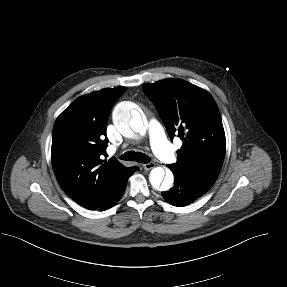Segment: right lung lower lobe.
I'll list each match as a JSON object with an SVG mask.
<instances>
[{"label":"right lung lower lobe","instance_id":"1","mask_svg":"<svg viewBox=\"0 0 287 287\" xmlns=\"http://www.w3.org/2000/svg\"><path fill=\"white\" fill-rule=\"evenodd\" d=\"M138 170V168H137ZM136 170V171H137ZM126 185H127V181L124 183V185L118 190V192L115 194V196L113 197L112 201L105 204L104 206L98 208L100 211H104V210H107L109 208H111L113 205H115L119 200L120 198L122 197V195L124 194V191L126 189Z\"/></svg>","mask_w":287,"mask_h":287}]
</instances>
